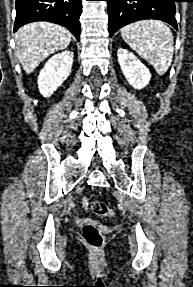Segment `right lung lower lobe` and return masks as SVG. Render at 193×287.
<instances>
[{
    "instance_id": "98d812e1",
    "label": "right lung lower lobe",
    "mask_w": 193,
    "mask_h": 287,
    "mask_svg": "<svg viewBox=\"0 0 193 287\" xmlns=\"http://www.w3.org/2000/svg\"><path fill=\"white\" fill-rule=\"evenodd\" d=\"M82 0H16L14 32L24 24L49 21L68 28L79 41Z\"/></svg>"
}]
</instances>
